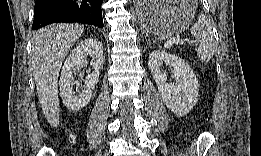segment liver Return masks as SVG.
Returning a JSON list of instances; mask_svg holds the SVG:
<instances>
[{"label": "liver", "instance_id": "6515ba94", "mask_svg": "<svg viewBox=\"0 0 261 156\" xmlns=\"http://www.w3.org/2000/svg\"><path fill=\"white\" fill-rule=\"evenodd\" d=\"M78 24H53L38 30L32 42V66L37 95L51 127L59 125L58 77L63 60L83 34Z\"/></svg>", "mask_w": 261, "mask_h": 156}]
</instances>
